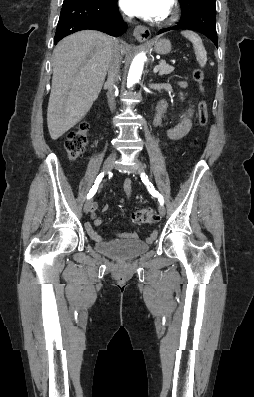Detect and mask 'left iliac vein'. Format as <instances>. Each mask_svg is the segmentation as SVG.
Here are the masks:
<instances>
[{
    "label": "left iliac vein",
    "instance_id": "left-iliac-vein-1",
    "mask_svg": "<svg viewBox=\"0 0 254 397\" xmlns=\"http://www.w3.org/2000/svg\"><path fill=\"white\" fill-rule=\"evenodd\" d=\"M142 170H143V166L140 162H137L136 165L132 168V172L134 174H140ZM158 211L161 216L165 215V207L162 204L159 205Z\"/></svg>",
    "mask_w": 254,
    "mask_h": 397
}]
</instances>
